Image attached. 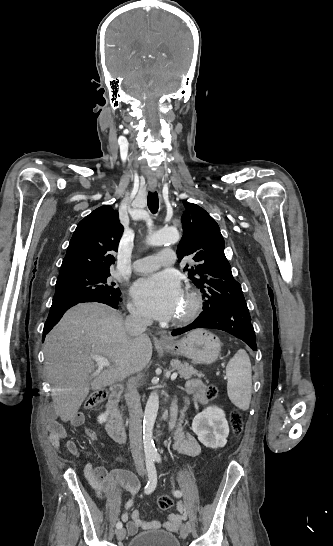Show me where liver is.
Returning <instances> with one entry per match:
<instances>
[{
  "label": "liver",
  "instance_id": "6515ba94",
  "mask_svg": "<svg viewBox=\"0 0 333 546\" xmlns=\"http://www.w3.org/2000/svg\"><path fill=\"white\" fill-rule=\"evenodd\" d=\"M43 349L54 408L64 422L77 415L90 387L100 389L141 372L152 357L150 338L128 333L121 315L98 303L69 309ZM92 355L110 359L113 367L95 371Z\"/></svg>",
  "mask_w": 333,
  "mask_h": 546
}]
</instances>
